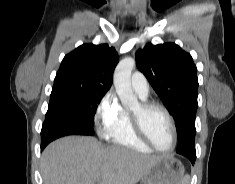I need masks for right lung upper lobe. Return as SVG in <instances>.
<instances>
[{
	"label": "right lung upper lobe",
	"mask_w": 235,
	"mask_h": 184,
	"mask_svg": "<svg viewBox=\"0 0 235 184\" xmlns=\"http://www.w3.org/2000/svg\"><path fill=\"white\" fill-rule=\"evenodd\" d=\"M118 63L117 52L107 44H83L61 62L52 91L69 86L110 88Z\"/></svg>",
	"instance_id": "cb5924a9"
}]
</instances>
